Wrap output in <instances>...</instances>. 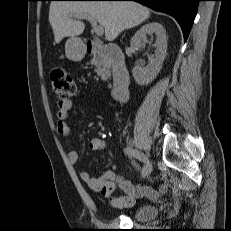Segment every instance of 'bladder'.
<instances>
[{"instance_id": "1", "label": "bladder", "mask_w": 231, "mask_h": 231, "mask_svg": "<svg viewBox=\"0 0 231 231\" xmlns=\"http://www.w3.org/2000/svg\"><path fill=\"white\" fill-rule=\"evenodd\" d=\"M159 208L153 205H142L132 212V219L135 221H149L157 216Z\"/></svg>"}]
</instances>
